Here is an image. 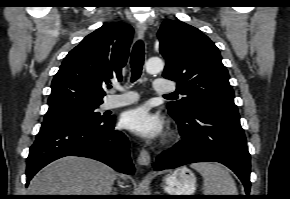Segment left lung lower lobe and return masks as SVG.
I'll return each instance as SVG.
<instances>
[{"label": "left lung lower lobe", "mask_w": 290, "mask_h": 199, "mask_svg": "<svg viewBox=\"0 0 290 199\" xmlns=\"http://www.w3.org/2000/svg\"><path fill=\"white\" fill-rule=\"evenodd\" d=\"M172 116V115H171ZM182 140L157 156L154 170L195 162L215 161L229 167L250 191V154L239 116H227L195 107L181 117L172 116Z\"/></svg>", "instance_id": "1"}]
</instances>
